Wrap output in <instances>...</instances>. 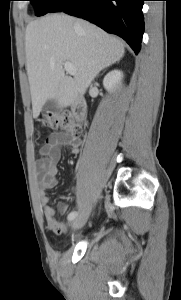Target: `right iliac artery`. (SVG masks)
<instances>
[{
  "mask_svg": "<svg viewBox=\"0 0 181 300\" xmlns=\"http://www.w3.org/2000/svg\"><path fill=\"white\" fill-rule=\"evenodd\" d=\"M77 216V212L76 211H72L69 215H68V221H72L76 218Z\"/></svg>",
  "mask_w": 181,
  "mask_h": 300,
  "instance_id": "1",
  "label": "right iliac artery"
}]
</instances>
